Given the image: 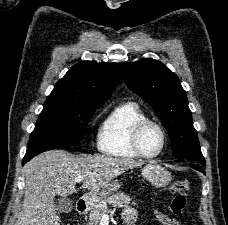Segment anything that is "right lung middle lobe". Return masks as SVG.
<instances>
[{
	"label": "right lung middle lobe",
	"instance_id": "dd1d6c3e",
	"mask_svg": "<svg viewBox=\"0 0 228 225\" xmlns=\"http://www.w3.org/2000/svg\"><path fill=\"white\" fill-rule=\"evenodd\" d=\"M102 105L50 94L30 135L28 147L46 142L78 143L94 111Z\"/></svg>",
	"mask_w": 228,
	"mask_h": 225
}]
</instances>
